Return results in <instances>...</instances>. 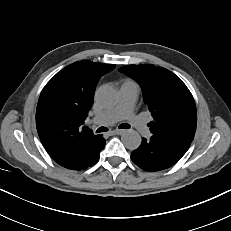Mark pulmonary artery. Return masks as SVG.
<instances>
[{
  "label": "pulmonary artery",
  "mask_w": 231,
  "mask_h": 231,
  "mask_svg": "<svg viewBox=\"0 0 231 231\" xmlns=\"http://www.w3.org/2000/svg\"><path fill=\"white\" fill-rule=\"evenodd\" d=\"M119 93L120 100L117 106L97 114L91 119V122L99 126H109L126 119L143 137H149L148 126L134 112L135 102L138 97L137 85H122Z\"/></svg>",
  "instance_id": "obj_1"
}]
</instances>
